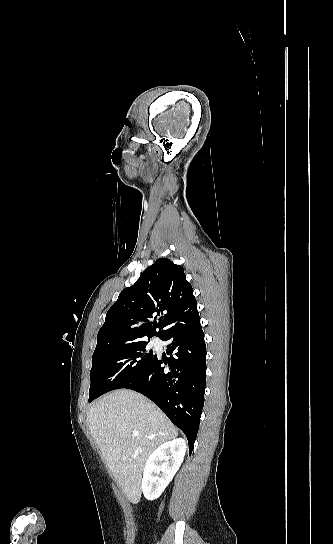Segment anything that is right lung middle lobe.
Segmentation results:
<instances>
[{"instance_id":"dd1d6c3e","label":"right lung middle lobe","mask_w":333,"mask_h":544,"mask_svg":"<svg viewBox=\"0 0 333 544\" xmlns=\"http://www.w3.org/2000/svg\"><path fill=\"white\" fill-rule=\"evenodd\" d=\"M156 357L144 339L96 349L90 371L89 402L136 380Z\"/></svg>"}]
</instances>
